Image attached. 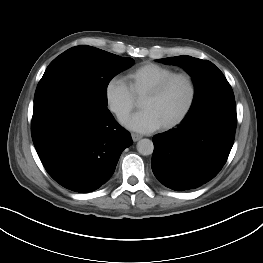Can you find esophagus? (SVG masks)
I'll use <instances>...</instances> for the list:
<instances>
[{
  "label": "esophagus",
  "instance_id": "1",
  "mask_svg": "<svg viewBox=\"0 0 263 263\" xmlns=\"http://www.w3.org/2000/svg\"><path fill=\"white\" fill-rule=\"evenodd\" d=\"M131 137H132V139H133L134 142H136V141H138V140H140V139L142 138L141 135L136 134V133H132V134H131Z\"/></svg>",
  "mask_w": 263,
  "mask_h": 263
}]
</instances>
